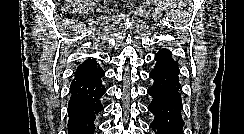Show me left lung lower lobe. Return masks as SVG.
<instances>
[{
    "label": "left lung lower lobe",
    "mask_w": 244,
    "mask_h": 134,
    "mask_svg": "<svg viewBox=\"0 0 244 134\" xmlns=\"http://www.w3.org/2000/svg\"><path fill=\"white\" fill-rule=\"evenodd\" d=\"M154 80V84L148 89V94L153 97L148 109L154 115L150 127L155 134H182L184 121L181 116V95L178 86H166Z\"/></svg>",
    "instance_id": "obj_1"
}]
</instances>
